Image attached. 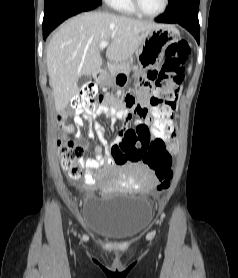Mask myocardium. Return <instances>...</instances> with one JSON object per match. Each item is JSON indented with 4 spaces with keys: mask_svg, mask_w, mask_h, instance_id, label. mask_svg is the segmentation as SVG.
I'll return each mask as SVG.
<instances>
[{
    "mask_svg": "<svg viewBox=\"0 0 238 278\" xmlns=\"http://www.w3.org/2000/svg\"><path fill=\"white\" fill-rule=\"evenodd\" d=\"M130 1L137 14H139L142 17L149 18V19H155V18L162 16L167 11L168 6H169V0H164L163 7L158 13L149 14L142 9L139 0H130Z\"/></svg>",
    "mask_w": 238,
    "mask_h": 278,
    "instance_id": "f54148a6",
    "label": "myocardium"
}]
</instances>
